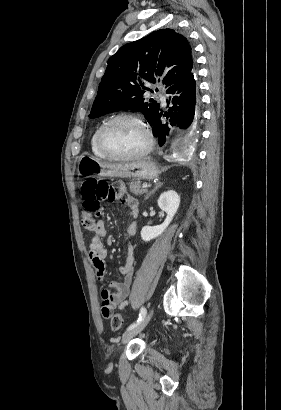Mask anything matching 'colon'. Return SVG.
I'll return each mask as SVG.
<instances>
[{"label": "colon", "instance_id": "colon-1", "mask_svg": "<svg viewBox=\"0 0 281 410\" xmlns=\"http://www.w3.org/2000/svg\"><path fill=\"white\" fill-rule=\"evenodd\" d=\"M82 225L87 229H93L96 218L101 213V202L115 201L122 191L119 187L111 186L106 180L90 178L82 184ZM124 320L121 314H115L111 318L110 326L112 331L118 332L123 328Z\"/></svg>", "mask_w": 281, "mask_h": 410}]
</instances>
